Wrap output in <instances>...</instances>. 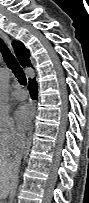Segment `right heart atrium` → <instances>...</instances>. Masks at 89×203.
<instances>
[{
    "mask_svg": "<svg viewBox=\"0 0 89 203\" xmlns=\"http://www.w3.org/2000/svg\"><path fill=\"white\" fill-rule=\"evenodd\" d=\"M24 135L16 128L14 121L4 116L0 119V144L12 153L22 146Z\"/></svg>",
    "mask_w": 89,
    "mask_h": 203,
    "instance_id": "obj_1",
    "label": "right heart atrium"
}]
</instances>
